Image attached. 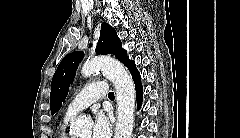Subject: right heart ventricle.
I'll use <instances>...</instances> for the list:
<instances>
[{
    "label": "right heart ventricle",
    "mask_w": 240,
    "mask_h": 138,
    "mask_svg": "<svg viewBox=\"0 0 240 138\" xmlns=\"http://www.w3.org/2000/svg\"><path fill=\"white\" fill-rule=\"evenodd\" d=\"M72 119L70 116H66L63 120L62 125L59 128L58 131V138H74L71 134L67 132V125L69 121Z\"/></svg>",
    "instance_id": "e07e8e85"
}]
</instances>
